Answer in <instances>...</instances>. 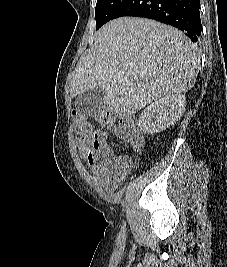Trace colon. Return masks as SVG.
<instances>
[{"instance_id":"colon-1","label":"colon","mask_w":227,"mask_h":267,"mask_svg":"<svg viewBox=\"0 0 227 267\" xmlns=\"http://www.w3.org/2000/svg\"><path fill=\"white\" fill-rule=\"evenodd\" d=\"M75 127L79 134L89 136L93 133V127L87 115L81 112H74ZM97 129L109 130L113 128L115 119L109 110H101L95 114ZM95 132V131H94ZM119 135L126 141L130 142L134 148L142 146V138L136 128L129 122H123L118 127ZM96 142H98L96 140Z\"/></svg>"}]
</instances>
